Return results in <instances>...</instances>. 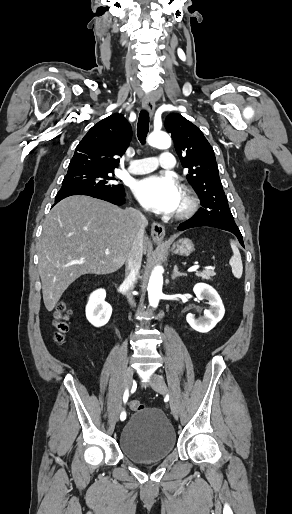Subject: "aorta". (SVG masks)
<instances>
[{
	"label": "aorta",
	"mask_w": 292,
	"mask_h": 514,
	"mask_svg": "<svg viewBox=\"0 0 292 514\" xmlns=\"http://www.w3.org/2000/svg\"><path fill=\"white\" fill-rule=\"evenodd\" d=\"M147 142L150 146L159 148V150H168L171 146V138L166 132H152V134L148 136ZM162 286V268L157 266L154 272H152L148 284L149 304L153 306V308H156L159 304V300L162 296Z\"/></svg>",
	"instance_id": "obj_1"
}]
</instances>
